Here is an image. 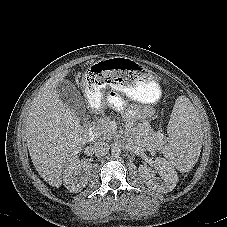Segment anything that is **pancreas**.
I'll list each match as a JSON object with an SVG mask.
<instances>
[{
    "label": "pancreas",
    "instance_id": "cf45deb5",
    "mask_svg": "<svg viewBox=\"0 0 227 227\" xmlns=\"http://www.w3.org/2000/svg\"><path fill=\"white\" fill-rule=\"evenodd\" d=\"M96 136L103 140H111L116 136V130L111 127L109 118H104L99 121L96 127Z\"/></svg>",
    "mask_w": 227,
    "mask_h": 227
}]
</instances>
